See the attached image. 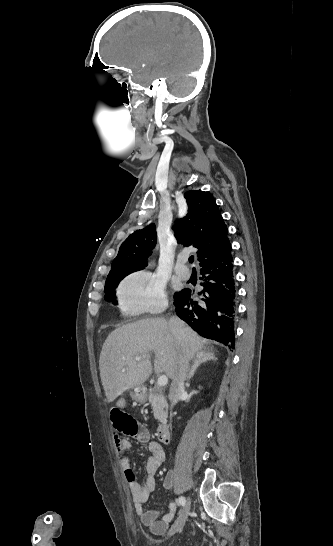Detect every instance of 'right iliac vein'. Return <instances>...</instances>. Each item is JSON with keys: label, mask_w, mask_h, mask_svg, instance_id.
<instances>
[{"label": "right iliac vein", "mask_w": 333, "mask_h": 546, "mask_svg": "<svg viewBox=\"0 0 333 546\" xmlns=\"http://www.w3.org/2000/svg\"><path fill=\"white\" fill-rule=\"evenodd\" d=\"M190 510V500L188 499L187 503L185 504L183 510L181 511L179 517L175 521V523L172 525L168 532V536L174 535L177 532H181L183 529V526L187 520L188 514Z\"/></svg>", "instance_id": "63e3f726"}]
</instances>
